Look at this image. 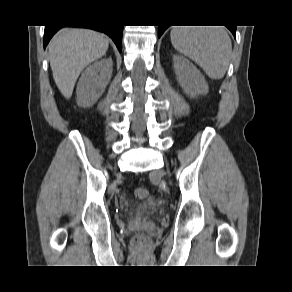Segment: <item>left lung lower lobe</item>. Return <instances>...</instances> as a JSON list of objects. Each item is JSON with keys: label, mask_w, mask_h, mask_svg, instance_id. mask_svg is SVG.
I'll use <instances>...</instances> for the list:
<instances>
[{"label": "left lung lower lobe", "mask_w": 292, "mask_h": 292, "mask_svg": "<svg viewBox=\"0 0 292 292\" xmlns=\"http://www.w3.org/2000/svg\"><path fill=\"white\" fill-rule=\"evenodd\" d=\"M167 27L168 26H159V32H158V36L159 37L163 34V32L166 30ZM228 28L230 29L232 34L235 36V34H236V26H231V27H228Z\"/></svg>", "instance_id": "obj_1"}]
</instances>
